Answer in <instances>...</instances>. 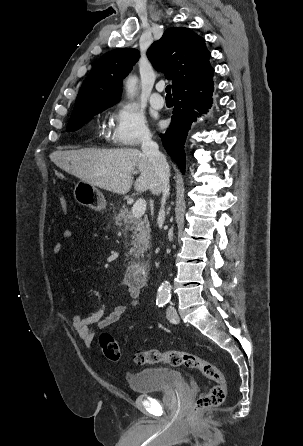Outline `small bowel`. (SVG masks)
<instances>
[{"label":"small bowel","mask_w":303,"mask_h":446,"mask_svg":"<svg viewBox=\"0 0 303 446\" xmlns=\"http://www.w3.org/2000/svg\"><path fill=\"white\" fill-rule=\"evenodd\" d=\"M62 236L65 240H70L74 237L72 229H64ZM63 250V244L58 242L54 245V254L58 255ZM90 294L101 303V306L86 317H81L75 313L71 317V322L74 330L79 338L87 346H91L95 338V329H103L118 322L126 313L128 306L125 304H117L113 309L107 313L106 305L103 303V295L96 289H91ZM127 295L131 306H136L140 300V287L132 286L127 283Z\"/></svg>","instance_id":"c3829d8e"}]
</instances>
